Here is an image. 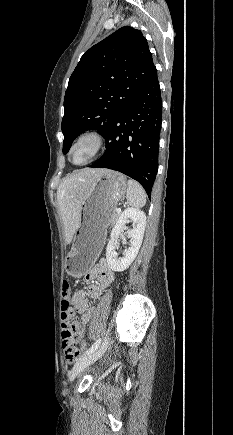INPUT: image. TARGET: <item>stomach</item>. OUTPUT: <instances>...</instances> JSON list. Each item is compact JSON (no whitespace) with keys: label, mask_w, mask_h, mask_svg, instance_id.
I'll return each instance as SVG.
<instances>
[{"label":"stomach","mask_w":233,"mask_h":435,"mask_svg":"<svg viewBox=\"0 0 233 435\" xmlns=\"http://www.w3.org/2000/svg\"><path fill=\"white\" fill-rule=\"evenodd\" d=\"M126 177L108 170L89 188L80 214L79 226L73 235L65 267L74 278L84 276L98 257L117 203L125 196Z\"/></svg>","instance_id":"1"}]
</instances>
